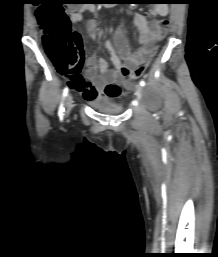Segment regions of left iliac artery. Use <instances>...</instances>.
<instances>
[{
	"label": "left iliac artery",
	"instance_id": "44dca946",
	"mask_svg": "<svg viewBox=\"0 0 218 257\" xmlns=\"http://www.w3.org/2000/svg\"><path fill=\"white\" fill-rule=\"evenodd\" d=\"M140 85H141L142 87H144V86H145V81H144V80H141V81H140Z\"/></svg>",
	"mask_w": 218,
	"mask_h": 257
}]
</instances>
